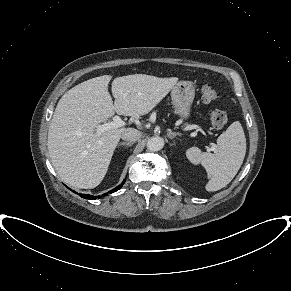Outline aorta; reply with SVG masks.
I'll return each mask as SVG.
<instances>
[{"label": "aorta", "instance_id": "1", "mask_svg": "<svg viewBox=\"0 0 291 291\" xmlns=\"http://www.w3.org/2000/svg\"><path fill=\"white\" fill-rule=\"evenodd\" d=\"M164 146V139L159 136L151 137L147 142V149L150 151H159Z\"/></svg>", "mask_w": 291, "mask_h": 291}]
</instances>
